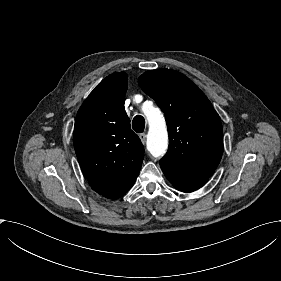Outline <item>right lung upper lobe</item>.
<instances>
[{
	"label": "right lung upper lobe",
	"mask_w": 281,
	"mask_h": 281,
	"mask_svg": "<svg viewBox=\"0 0 281 281\" xmlns=\"http://www.w3.org/2000/svg\"><path fill=\"white\" fill-rule=\"evenodd\" d=\"M127 74L101 81L80 107L73 143L85 178L93 190L113 198L140 171L144 148L131 130L124 109Z\"/></svg>",
	"instance_id": "1"
}]
</instances>
